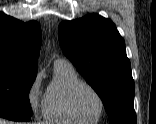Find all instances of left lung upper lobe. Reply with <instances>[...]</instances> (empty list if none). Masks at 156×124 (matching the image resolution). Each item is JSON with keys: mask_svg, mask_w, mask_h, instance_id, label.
Wrapping results in <instances>:
<instances>
[{"mask_svg": "<svg viewBox=\"0 0 156 124\" xmlns=\"http://www.w3.org/2000/svg\"><path fill=\"white\" fill-rule=\"evenodd\" d=\"M64 54L102 99L110 124H137L134 80L115 24L92 14L59 24Z\"/></svg>", "mask_w": 156, "mask_h": 124, "instance_id": "obj_1", "label": "left lung upper lobe"}]
</instances>
